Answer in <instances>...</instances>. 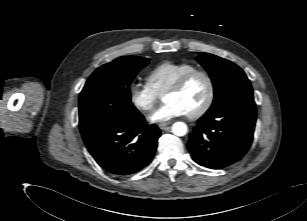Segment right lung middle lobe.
Masks as SVG:
<instances>
[{
    "mask_svg": "<svg viewBox=\"0 0 307 221\" xmlns=\"http://www.w3.org/2000/svg\"><path fill=\"white\" fill-rule=\"evenodd\" d=\"M149 63L137 56H123L99 67L79 96L80 132L106 120L125 119L137 113L131 103L130 84Z\"/></svg>",
    "mask_w": 307,
    "mask_h": 221,
    "instance_id": "right-lung-middle-lobe-1",
    "label": "right lung middle lobe"
}]
</instances>
